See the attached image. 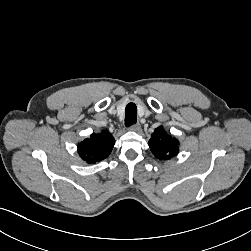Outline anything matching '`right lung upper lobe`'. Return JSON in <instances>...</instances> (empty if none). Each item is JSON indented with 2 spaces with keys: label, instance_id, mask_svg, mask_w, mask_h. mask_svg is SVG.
Here are the masks:
<instances>
[{
  "label": "right lung upper lobe",
  "instance_id": "obj_1",
  "mask_svg": "<svg viewBox=\"0 0 251 251\" xmlns=\"http://www.w3.org/2000/svg\"><path fill=\"white\" fill-rule=\"evenodd\" d=\"M114 143L115 140L109 132L94 133L90 138L79 143L78 153L89 164L99 162L109 156Z\"/></svg>",
  "mask_w": 251,
  "mask_h": 251
}]
</instances>
